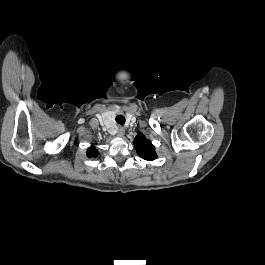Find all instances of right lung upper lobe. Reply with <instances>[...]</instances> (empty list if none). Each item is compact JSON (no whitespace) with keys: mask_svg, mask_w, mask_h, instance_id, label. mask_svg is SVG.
Masks as SVG:
<instances>
[{"mask_svg":"<svg viewBox=\"0 0 265 265\" xmlns=\"http://www.w3.org/2000/svg\"><path fill=\"white\" fill-rule=\"evenodd\" d=\"M97 154H98V150L95 148V146L92 145L91 147L88 148L87 150L88 157L92 158V157L97 156Z\"/></svg>","mask_w":265,"mask_h":265,"instance_id":"obj_1","label":"right lung upper lobe"}]
</instances>
